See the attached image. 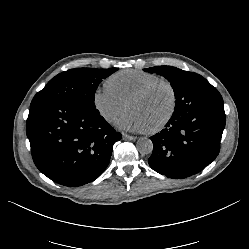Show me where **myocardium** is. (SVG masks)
Returning <instances> with one entry per match:
<instances>
[{
    "instance_id": "f54148a6",
    "label": "myocardium",
    "mask_w": 249,
    "mask_h": 249,
    "mask_svg": "<svg viewBox=\"0 0 249 249\" xmlns=\"http://www.w3.org/2000/svg\"><path fill=\"white\" fill-rule=\"evenodd\" d=\"M159 86H165L169 90L170 95H171V108L168 114L160 121V123L157 126L147 130V133L149 134H155V133L162 131L172 121L173 117L175 116V113L178 107V94H177L176 88L170 81L166 79H158V80H155V81H152L146 84L136 93H134L128 100V104H129L130 102L134 100L145 97L152 90H154L155 88Z\"/></svg>"
}]
</instances>
